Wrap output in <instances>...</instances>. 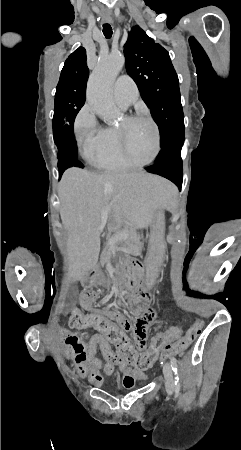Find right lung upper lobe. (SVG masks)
Wrapping results in <instances>:
<instances>
[{
  "mask_svg": "<svg viewBox=\"0 0 241 450\" xmlns=\"http://www.w3.org/2000/svg\"><path fill=\"white\" fill-rule=\"evenodd\" d=\"M86 50L79 47L65 61L61 71L59 83L62 82H87L89 70L86 64Z\"/></svg>",
  "mask_w": 241,
  "mask_h": 450,
  "instance_id": "cb5924a9",
  "label": "right lung upper lobe"
}]
</instances>
